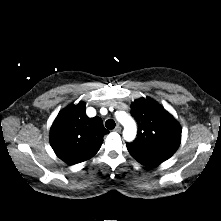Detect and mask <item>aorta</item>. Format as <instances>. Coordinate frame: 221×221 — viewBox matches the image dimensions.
I'll use <instances>...</instances> for the list:
<instances>
[{
  "mask_svg": "<svg viewBox=\"0 0 221 221\" xmlns=\"http://www.w3.org/2000/svg\"><path fill=\"white\" fill-rule=\"evenodd\" d=\"M117 120L124 126V139L126 141H132L135 138L137 132L135 121L125 112H119L117 115Z\"/></svg>",
  "mask_w": 221,
  "mask_h": 221,
  "instance_id": "1",
  "label": "aorta"
}]
</instances>
